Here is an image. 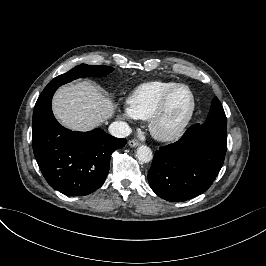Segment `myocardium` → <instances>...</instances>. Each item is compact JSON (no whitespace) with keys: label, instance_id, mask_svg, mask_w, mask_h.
<instances>
[{"label":"myocardium","instance_id":"f54148a6","mask_svg":"<svg viewBox=\"0 0 266 266\" xmlns=\"http://www.w3.org/2000/svg\"><path fill=\"white\" fill-rule=\"evenodd\" d=\"M180 87L187 88L191 94L192 109L190 111V114L188 115V117L184 121V123L175 131L170 132V133L161 132L157 129L156 123H157L158 119L161 117V115L164 113L170 98L173 96V94L176 92V90ZM197 107H198L197 97H196V94H195V91L193 90V88L186 83H178L177 85H175L174 87L169 89L162 96V98L160 99V101L158 102V104L156 105L154 110L151 112V114L148 118V128H149L151 135L154 138H156L157 140L164 141V142H170V141H174V140L178 139L179 137H181L184 134V132L188 129L191 122L193 121L194 116H195L196 111H197Z\"/></svg>","mask_w":266,"mask_h":266}]
</instances>
